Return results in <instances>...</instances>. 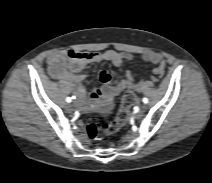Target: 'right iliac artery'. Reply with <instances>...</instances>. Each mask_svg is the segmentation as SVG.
<instances>
[{
    "instance_id": "82829eb1",
    "label": "right iliac artery",
    "mask_w": 212,
    "mask_h": 183,
    "mask_svg": "<svg viewBox=\"0 0 212 183\" xmlns=\"http://www.w3.org/2000/svg\"><path fill=\"white\" fill-rule=\"evenodd\" d=\"M71 100H72V99H71L70 97H67V98H66V102H68V103H70Z\"/></svg>"
}]
</instances>
